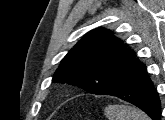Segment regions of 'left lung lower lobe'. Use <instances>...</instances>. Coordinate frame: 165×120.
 <instances>
[{
	"instance_id": "1",
	"label": "left lung lower lobe",
	"mask_w": 165,
	"mask_h": 120,
	"mask_svg": "<svg viewBox=\"0 0 165 120\" xmlns=\"http://www.w3.org/2000/svg\"><path fill=\"white\" fill-rule=\"evenodd\" d=\"M108 95L132 103L152 120H161V102L158 93L147 73L145 64L138 61L136 57L130 64L121 84Z\"/></svg>"
}]
</instances>
